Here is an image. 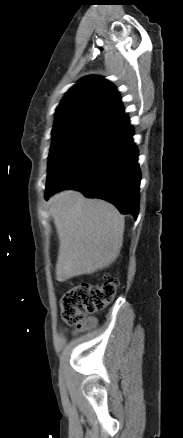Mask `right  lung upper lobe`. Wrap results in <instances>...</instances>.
Listing matches in <instances>:
<instances>
[{"label": "right lung upper lobe", "mask_w": 183, "mask_h": 438, "mask_svg": "<svg viewBox=\"0 0 183 438\" xmlns=\"http://www.w3.org/2000/svg\"><path fill=\"white\" fill-rule=\"evenodd\" d=\"M124 115L116 88L100 76H88L73 86L55 112L52 133L77 128L101 126Z\"/></svg>", "instance_id": "obj_1"}]
</instances>
